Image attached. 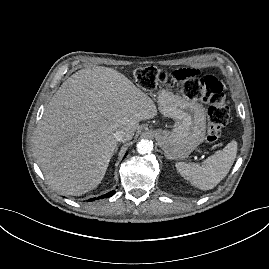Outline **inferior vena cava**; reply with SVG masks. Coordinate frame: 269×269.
<instances>
[{"label":"inferior vena cava","instance_id":"1","mask_svg":"<svg viewBox=\"0 0 269 269\" xmlns=\"http://www.w3.org/2000/svg\"><path fill=\"white\" fill-rule=\"evenodd\" d=\"M114 138L117 140V141H123V140H126L127 138V133L124 129H118L116 130V132L114 133Z\"/></svg>","mask_w":269,"mask_h":269}]
</instances>
